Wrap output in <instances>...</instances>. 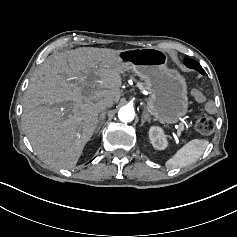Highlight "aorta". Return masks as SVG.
Returning <instances> with one entry per match:
<instances>
[{
  "label": "aorta",
  "instance_id": "762f6f07",
  "mask_svg": "<svg viewBox=\"0 0 237 237\" xmlns=\"http://www.w3.org/2000/svg\"><path fill=\"white\" fill-rule=\"evenodd\" d=\"M135 116V112L132 108L128 106H123L118 111V118L123 123H130L133 121Z\"/></svg>",
  "mask_w": 237,
  "mask_h": 237
}]
</instances>
